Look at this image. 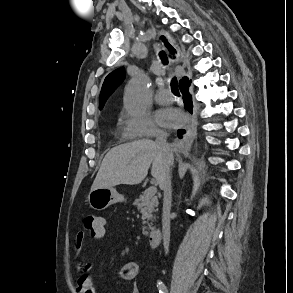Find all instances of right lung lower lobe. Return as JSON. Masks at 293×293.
Here are the masks:
<instances>
[{"instance_id":"1","label":"right lung lower lobe","mask_w":293,"mask_h":293,"mask_svg":"<svg viewBox=\"0 0 293 293\" xmlns=\"http://www.w3.org/2000/svg\"><path fill=\"white\" fill-rule=\"evenodd\" d=\"M191 84V81H189L188 79H186L185 81H183L180 85V90L183 94V100H184V106L185 108L192 113V97L189 94V86ZM185 133V130L181 129L178 130V135L180 136V138H182V135Z\"/></svg>"}]
</instances>
